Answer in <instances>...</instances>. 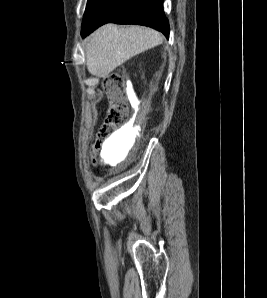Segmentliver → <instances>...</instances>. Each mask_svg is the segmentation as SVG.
<instances>
[{"label":"liver","mask_w":267,"mask_h":298,"mask_svg":"<svg viewBox=\"0 0 267 298\" xmlns=\"http://www.w3.org/2000/svg\"><path fill=\"white\" fill-rule=\"evenodd\" d=\"M161 42L160 33L150 28L134 25L119 28L115 24H106L87 40V69L93 76L106 77L133 56Z\"/></svg>","instance_id":"liver-1"}]
</instances>
